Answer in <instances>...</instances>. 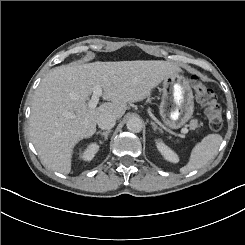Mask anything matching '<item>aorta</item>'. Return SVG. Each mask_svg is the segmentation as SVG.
Segmentation results:
<instances>
[{"mask_svg":"<svg viewBox=\"0 0 245 245\" xmlns=\"http://www.w3.org/2000/svg\"><path fill=\"white\" fill-rule=\"evenodd\" d=\"M127 129L133 133H138L143 128V122L138 117H131L126 123Z\"/></svg>","mask_w":245,"mask_h":245,"instance_id":"1","label":"aorta"}]
</instances>
